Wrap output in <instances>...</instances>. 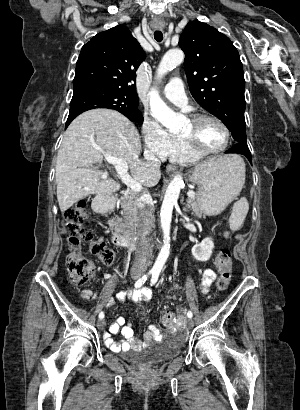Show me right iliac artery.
<instances>
[{
	"instance_id": "right-iliac-artery-1",
	"label": "right iliac artery",
	"mask_w": 300,
	"mask_h": 410,
	"mask_svg": "<svg viewBox=\"0 0 300 410\" xmlns=\"http://www.w3.org/2000/svg\"><path fill=\"white\" fill-rule=\"evenodd\" d=\"M151 273L152 272H149L148 274L143 275L140 279H138L135 283V288H140L146 282V280L148 279V277ZM103 318H104V313L100 312L99 319H103Z\"/></svg>"
}]
</instances>
